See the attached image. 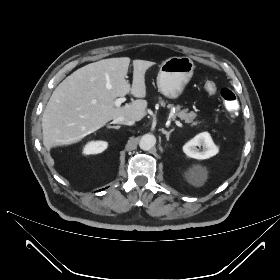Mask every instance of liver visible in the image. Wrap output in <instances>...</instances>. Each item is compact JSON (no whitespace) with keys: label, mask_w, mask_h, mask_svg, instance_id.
I'll use <instances>...</instances> for the list:
<instances>
[{"label":"liver","mask_w":280,"mask_h":280,"mask_svg":"<svg viewBox=\"0 0 280 280\" xmlns=\"http://www.w3.org/2000/svg\"><path fill=\"white\" fill-rule=\"evenodd\" d=\"M129 64L128 57L103 59L79 68L56 87L42 118L47 149L76 143L120 116L143 119L146 100L137 99L119 107L114 102L128 93L144 98L145 73L154 62L133 60L132 85L126 80Z\"/></svg>","instance_id":"1"}]
</instances>
